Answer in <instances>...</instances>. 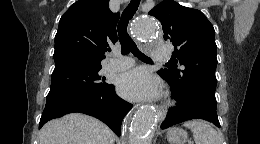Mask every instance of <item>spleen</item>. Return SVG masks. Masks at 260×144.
<instances>
[{
  "instance_id": "3e777b00",
  "label": "spleen",
  "mask_w": 260,
  "mask_h": 144,
  "mask_svg": "<svg viewBox=\"0 0 260 144\" xmlns=\"http://www.w3.org/2000/svg\"><path fill=\"white\" fill-rule=\"evenodd\" d=\"M183 126L191 129L195 144H222L223 142L221 135L205 121H187Z\"/></svg>"
}]
</instances>
